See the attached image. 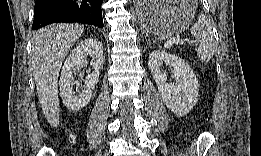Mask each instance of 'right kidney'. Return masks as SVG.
<instances>
[{"mask_svg": "<svg viewBox=\"0 0 261 156\" xmlns=\"http://www.w3.org/2000/svg\"><path fill=\"white\" fill-rule=\"evenodd\" d=\"M91 57L94 71L85 77V87L80 94L73 92V72L87 64L86 57ZM103 46L97 39H85L74 48L64 62L59 81L60 95L64 105L77 112L87 105L99 80V71L103 65Z\"/></svg>", "mask_w": 261, "mask_h": 156, "instance_id": "ca27d5eb", "label": "right kidney"}]
</instances>
